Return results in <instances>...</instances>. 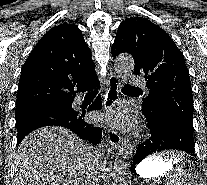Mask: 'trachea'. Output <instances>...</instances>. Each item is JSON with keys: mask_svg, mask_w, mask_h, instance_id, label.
I'll return each instance as SVG.
<instances>
[{"mask_svg": "<svg viewBox=\"0 0 207 185\" xmlns=\"http://www.w3.org/2000/svg\"><path fill=\"white\" fill-rule=\"evenodd\" d=\"M137 89H138L137 87H132L131 85H124L122 90H137ZM95 93H97L96 90H90L88 92V94H95Z\"/></svg>", "mask_w": 207, "mask_h": 185, "instance_id": "1", "label": "trachea"}]
</instances>
